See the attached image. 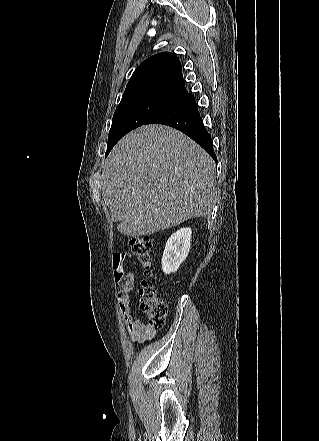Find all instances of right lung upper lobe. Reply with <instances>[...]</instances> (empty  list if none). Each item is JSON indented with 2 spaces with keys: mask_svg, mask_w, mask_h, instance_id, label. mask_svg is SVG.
<instances>
[{
  "mask_svg": "<svg viewBox=\"0 0 319 441\" xmlns=\"http://www.w3.org/2000/svg\"><path fill=\"white\" fill-rule=\"evenodd\" d=\"M187 93L179 59L173 53L162 52L146 59L136 68L120 103L156 98L174 104Z\"/></svg>",
  "mask_w": 319,
  "mask_h": 441,
  "instance_id": "cb5924a9",
  "label": "right lung upper lobe"
}]
</instances>
